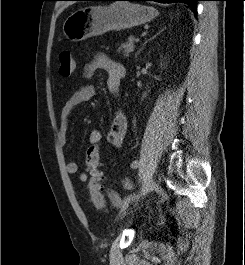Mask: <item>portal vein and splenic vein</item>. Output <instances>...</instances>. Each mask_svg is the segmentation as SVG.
<instances>
[{
  "label": "portal vein and splenic vein",
  "instance_id": "portal-vein-and-splenic-vein-1",
  "mask_svg": "<svg viewBox=\"0 0 245 265\" xmlns=\"http://www.w3.org/2000/svg\"><path fill=\"white\" fill-rule=\"evenodd\" d=\"M139 41H140V39H139V38L135 39V42H136V43H138Z\"/></svg>",
  "mask_w": 245,
  "mask_h": 265
}]
</instances>
